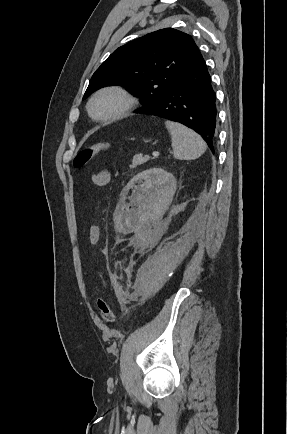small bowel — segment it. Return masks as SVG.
I'll list each match as a JSON object with an SVG mask.
<instances>
[{"label":"small bowel","mask_w":287,"mask_h":434,"mask_svg":"<svg viewBox=\"0 0 287 434\" xmlns=\"http://www.w3.org/2000/svg\"><path fill=\"white\" fill-rule=\"evenodd\" d=\"M110 173L107 170H103L93 174L92 181L97 186H105L110 182ZM89 239L92 245H96L100 239V230L97 226H91L89 230Z\"/></svg>","instance_id":"c3829d8e"}]
</instances>
